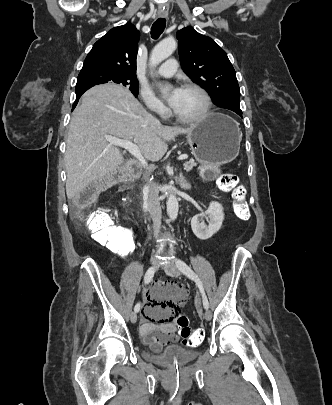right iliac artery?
Returning a JSON list of instances; mask_svg holds the SVG:
<instances>
[{
	"label": "right iliac artery",
	"mask_w": 332,
	"mask_h": 405,
	"mask_svg": "<svg viewBox=\"0 0 332 405\" xmlns=\"http://www.w3.org/2000/svg\"><path fill=\"white\" fill-rule=\"evenodd\" d=\"M154 273H155V268L154 267H151V268H149L147 270V272L145 273V276H144L145 284L150 283V281L152 280V278L154 276ZM140 308H141V304L138 302L134 307V311L138 312L140 310Z\"/></svg>",
	"instance_id": "obj_1"
}]
</instances>
